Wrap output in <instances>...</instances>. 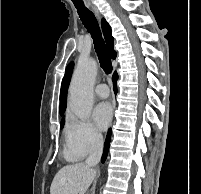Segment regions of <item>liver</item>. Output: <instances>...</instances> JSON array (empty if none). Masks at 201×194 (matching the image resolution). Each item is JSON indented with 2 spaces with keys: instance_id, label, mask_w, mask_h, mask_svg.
Here are the masks:
<instances>
[{
  "instance_id": "liver-1",
  "label": "liver",
  "mask_w": 201,
  "mask_h": 194,
  "mask_svg": "<svg viewBox=\"0 0 201 194\" xmlns=\"http://www.w3.org/2000/svg\"><path fill=\"white\" fill-rule=\"evenodd\" d=\"M96 176V170L84 163L62 167L55 175L50 194H85Z\"/></svg>"
}]
</instances>
